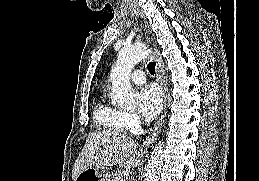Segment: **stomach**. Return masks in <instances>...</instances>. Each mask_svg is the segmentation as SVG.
Returning <instances> with one entry per match:
<instances>
[{
	"label": "stomach",
	"mask_w": 259,
	"mask_h": 181,
	"mask_svg": "<svg viewBox=\"0 0 259 181\" xmlns=\"http://www.w3.org/2000/svg\"><path fill=\"white\" fill-rule=\"evenodd\" d=\"M75 181H110V172L106 167L92 166L82 171Z\"/></svg>",
	"instance_id": "0dacf381"
}]
</instances>
